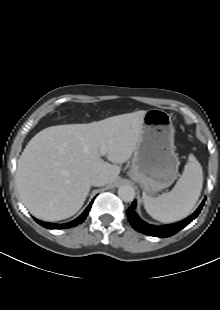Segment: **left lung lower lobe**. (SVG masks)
Segmentation results:
<instances>
[{
  "instance_id": "0a47b994",
  "label": "left lung lower lobe",
  "mask_w": 220,
  "mask_h": 310,
  "mask_svg": "<svg viewBox=\"0 0 220 310\" xmlns=\"http://www.w3.org/2000/svg\"><path fill=\"white\" fill-rule=\"evenodd\" d=\"M204 203L205 201L203 200L199 208L188 218L180 222L164 226L151 225L140 219L135 212L136 201L132 203V206L128 209L127 213L129 222L135 230L149 236L165 238L176 234L178 231L188 225L192 220H194L199 215Z\"/></svg>"
}]
</instances>
